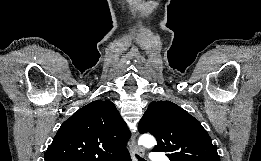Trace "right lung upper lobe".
<instances>
[{
	"label": "right lung upper lobe",
	"mask_w": 261,
	"mask_h": 161,
	"mask_svg": "<svg viewBox=\"0 0 261 161\" xmlns=\"http://www.w3.org/2000/svg\"><path fill=\"white\" fill-rule=\"evenodd\" d=\"M130 136L114 104L96 100L61 125L44 158L45 161H109L128 152Z\"/></svg>",
	"instance_id": "1"
}]
</instances>
